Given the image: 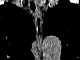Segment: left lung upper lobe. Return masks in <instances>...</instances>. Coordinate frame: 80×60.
<instances>
[{
  "label": "left lung upper lobe",
  "instance_id": "left-lung-upper-lobe-1",
  "mask_svg": "<svg viewBox=\"0 0 80 60\" xmlns=\"http://www.w3.org/2000/svg\"><path fill=\"white\" fill-rule=\"evenodd\" d=\"M75 7L71 3L61 0L57 6L49 9L43 20V33L56 35L62 40V53L72 52L77 46L78 36L73 31ZM76 45V46H75Z\"/></svg>",
  "mask_w": 80,
  "mask_h": 60
}]
</instances>
